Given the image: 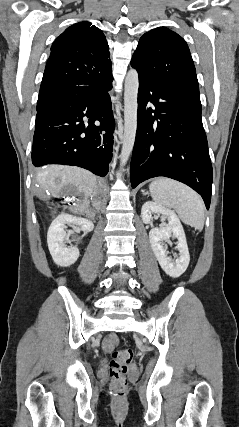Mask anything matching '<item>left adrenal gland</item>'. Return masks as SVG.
I'll list each match as a JSON object with an SVG mask.
<instances>
[{
    "instance_id": "obj_1",
    "label": "left adrenal gland",
    "mask_w": 239,
    "mask_h": 427,
    "mask_svg": "<svg viewBox=\"0 0 239 427\" xmlns=\"http://www.w3.org/2000/svg\"><path fill=\"white\" fill-rule=\"evenodd\" d=\"M143 192V195H147L148 194V192H144V191H142Z\"/></svg>"
}]
</instances>
